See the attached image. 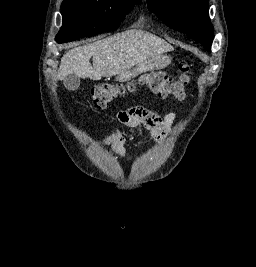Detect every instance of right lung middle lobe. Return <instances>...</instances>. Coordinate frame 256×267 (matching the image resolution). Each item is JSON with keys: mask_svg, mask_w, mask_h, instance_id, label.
Segmentation results:
<instances>
[{"mask_svg": "<svg viewBox=\"0 0 256 267\" xmlns=\"http://www.w3.org/2000/svg\"><path fill=\"white\" fill-rule=\"evenodd\" d=\"M141 0H64L61 5L63 25L56 35L58 43L119 27L134 4Z\"/></svg>", "mask_w": 256, "mask_h": 267, "instance_id": "right-lung-middle-lobe-1", "label": "right lung middle lobe"}]
</instances>
